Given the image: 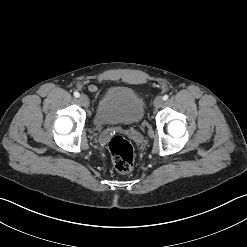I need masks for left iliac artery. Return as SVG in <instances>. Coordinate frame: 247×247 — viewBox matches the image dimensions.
Segmentation results:
<instances>
[{
	"instance_id": "obj_1",
	"label": "left iliac artery",
	"mask_w": 247,
	"mask_h": 247,
	"mask_svg": "<svg viewBox=\"0 0 247 247\" xmlns=\"http://www.w3.org/2000/svg\"><path fill=\"white\" fill-rule=\"evenodd\" d=\"M168 98H169L168 95H164V96H163V100H164V101H166Z\"/></svg>"
}]
</instances>
